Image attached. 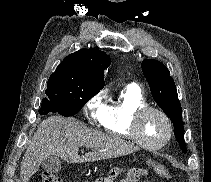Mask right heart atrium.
<instances>
[{"instance_id": "right-heart-atrium-1", "label": "right heart atrium", "mask_w": 211, "mask_h": 182, "mask_svg": "<svg viewBox=\"0 0 211 182\" xmlns=\"http://www.w3.org/2000/svg\"><path fill=\"white\" fill-rule=\"evenodd\" d=\"M104 98L105 93L99 92L90 98L85 104L84 109L87 118L92 124H100L105 115L107 106L104 103Z\"/></svg>"}]
</instances>
